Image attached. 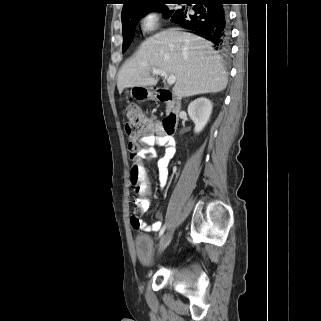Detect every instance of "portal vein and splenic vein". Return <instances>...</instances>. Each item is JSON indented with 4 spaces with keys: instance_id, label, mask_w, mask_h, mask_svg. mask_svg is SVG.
I'll return each instance as SVG.
<instances>
[{
    "instance_id": "portal-vein-and-splenic-vein-1",
    "label": "portal vein and splenic vein",
    "mask_w": 321,
    "mask_h": 321,
    "mask_svg": "<svg viewBox=\"0 0 321 321\" xmlns=\"http://www.w3.org/2000/svg\"><path fill=\"white\" fill-rule=\"evenodd\" d=\"M152 74L153 75H161V76L165 77L167 80V83L169 85H173L176 82V77L174 75H168L167 72L162 71L160 69H153Z\"/></svg>"
}]
</instances>
